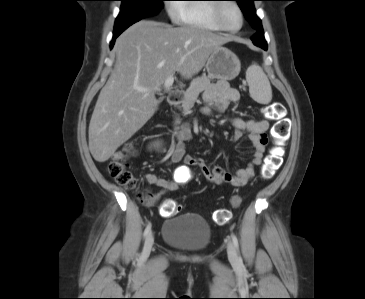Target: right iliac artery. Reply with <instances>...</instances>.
I'll return each mask as SVG.
<instances>
[{"label":"right iliac artery","instance_id":"obj_1","mask_svg":"<svg viewBox=\"0 0 365 299\" xmlns=\"http://www.w3.org/2000/svg\"><path fill=\"white\" fill-rule=\"evenodd\" d=\"M151 232V224L149 223L144 231V238L147 237L149 235V233Z\"/></svg>","mask_w":365,"mask_h":299}]
</instances>
